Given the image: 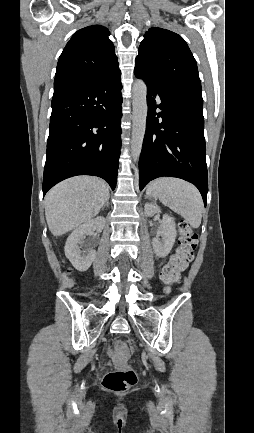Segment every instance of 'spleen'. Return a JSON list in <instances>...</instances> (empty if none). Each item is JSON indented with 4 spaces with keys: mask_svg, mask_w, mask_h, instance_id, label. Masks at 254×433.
Returning <instances> with one entry per match:
<instances>
[{
    "mask_svg": "<svg viewBox=\"0 0 254 433\" xmlns=\"http://www.w3.org/2000/svg\"><path fill=\"white\" fill-rule=\"evenodd\" d=\"M146 194L158 198L181 215L193 228L201 224L203 200L197 188L181 179L162 177L152 181Z\"/></svg>",
    "mask_w": 254,
    "mask_h": 433,
    "instance_id": "obj_1",
    "label": "spleen"
}]
</instances>
